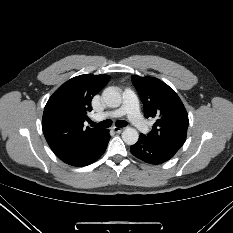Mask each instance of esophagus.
<instances>
[{
    "mask_svg": "<svg viewBox=\"0 0 233 233\" xmlns=\"http://www.w3.org/2000/svg\"><path fill=\"white\" fill-rule=\"evenodd\" d=\"M112 130L116 133H120L124 130V128L114 126L112 127Z\"/></svg>",
    "mask_w": 233,
    "mask_h": 233,
    "instance_id": "1",
    "label": "esophagus"
}]
</instances>
